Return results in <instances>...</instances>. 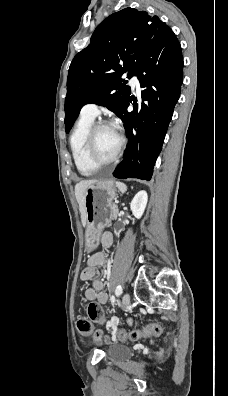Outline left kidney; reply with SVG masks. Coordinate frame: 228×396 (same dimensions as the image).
I'll return each mask as SVG.
<instances>
[{
  "mask_svg": "<svg viewBox=\"0 0 228 396\" xmlns=\"http://www.w3.org/2000/svg\"><path fill=\"white\" fill-rule=\"evenodd\" d=\"M148 201L147 192L144 190L139 191L133 198L130 208L135 218L140 219L144 213Z\"/></svg>",
  "mask_w": 228,
  "mask_h": 396,
  "instance_id": "5707ae66",
  "label": "left kidney"
}]
</instances>
